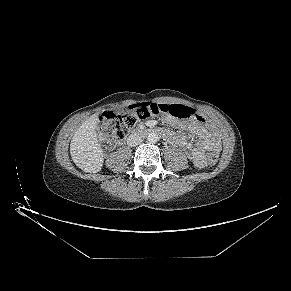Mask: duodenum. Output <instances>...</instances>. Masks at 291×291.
<instances>
[{"instance_id": "obj_1", "label": "duodenum", "mask_w": 291, "mask_h": 291, "mask_svg": "<svg viewBox=\"0 0 291 291\" xmlns=\"http://www.w3.org/2000/svg\"><path fill=\"white\" fill-rule=\"evenodd\" d=\"M154 132H155V130L150 129V128H141V129H138L135 133L138 135H147V134H151Z\"/></svg>"}]
</instances>
